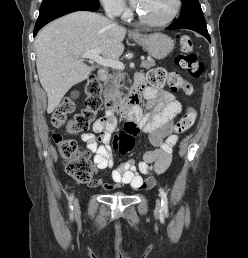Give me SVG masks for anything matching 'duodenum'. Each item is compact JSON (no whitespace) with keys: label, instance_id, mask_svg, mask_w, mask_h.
<instances>
[{"label":"duodenum","instance_id":"duodenum-1","mask_svg":"<svg viewBox=\"0 0 248 258\" xmlns=\"http://www.w3.org/2000/svg\"><path fill=\"white\" fill-rule=\"evenodd\" d=\"M97 77L101 82H104L108 77V73L106 70H99ZM142 85L141 79L136 77L134 87L127 100H112L105 97V110L109 113L116 111L123 120H128L140 107Z\"/></svg>","mask_w":248,"mask_h":258}]
</instances>
